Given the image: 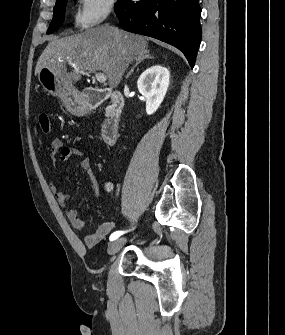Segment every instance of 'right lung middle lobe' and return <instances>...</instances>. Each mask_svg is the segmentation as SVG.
Listing matches in <instances>:
<instances>
[{
  "instance_id": "dd1d6c3e",
  "label": "right lung middle lobe",
  "mask_w": 285,
  "mask_h": 335,
  "mask_svg": "<svg viewBox=\"0 0 285 335\" xmlns=\"http://www.w3.org/2000/svg\"><path fill=\"white\" fill-rule=\"evenodd\" d=\"M66 3H67V0H63L62 2L55 5L54 16L50 24V27L47 31V34L53 33L57 28H59L63 24Z\"/></svg>"
}]
</instances>
